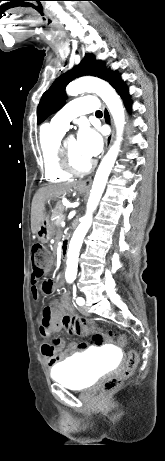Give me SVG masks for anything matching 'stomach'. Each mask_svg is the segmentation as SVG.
Returning <instances> with one entry per match:
<instances>
[{
	"label": "stomach",
	"mask_w": 165,
	"mask_h": 461,
	"mask_svg": "<svg viewBox=\"0 0 165 461\" xmlns=\"http://www.w3.org/2000/svg\"><path fill=\"white\" fill-rule=\"evenodd\" d=\"M75 189L79 191L80 193H83L85 191L84 187L80 184L77 185ZM53 235H54L53 224L49 220V217L44 215L43 220L40 224V227L38 231L36 232V236L40 242L47 243L52 238Z\"/></svg>",
	"instance_id": "obj_1"
}]
</instances>
